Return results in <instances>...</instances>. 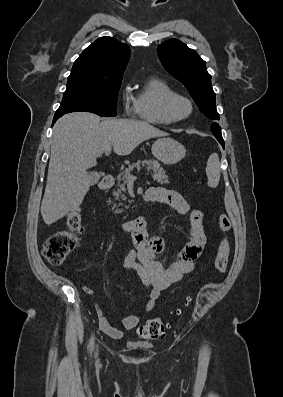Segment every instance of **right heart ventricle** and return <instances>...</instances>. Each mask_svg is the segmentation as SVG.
Instances as JSON below:
<instances>
[{"label":"right heart ventricle","instance_id":"e07e8e85","mask_svg":"<svg viewBox=\"0 0 283 397\" xmlns=\"http://www.w3.org/2000/svg\"><path fill=\"white\" fill-rule=\"evenodd\" d=\"M176 91L164 80L151 77L138 88L135 101L140 119L151 124H169L164 112L165 101Z\"/></svg>","mask_w":283,"mask_h":397}]
</instances>
